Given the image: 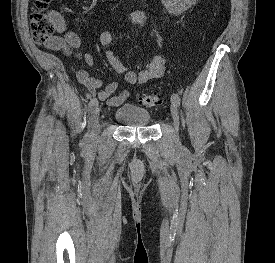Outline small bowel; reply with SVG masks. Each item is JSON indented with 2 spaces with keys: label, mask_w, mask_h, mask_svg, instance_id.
I'll list each match as a JSON object with an SVG mask.
<instances>
[{
  "label": "small bowel",
  "mask_w": 275,
  "mask_h": 263,
  "mask_svg": "<svg viewBox=\"0 0 275 263\" xmlns=\"http://www.w3.org/2000/svg\"><path fill=\"white\" fill-rule=\"evenodd\" d=\"M126 19L138 26L146 25L148 21V15L139 10H130L125 15ZM51 18L59 31L60 35L54 36L49 42L45 43V47L50 50L61 51L67 56H72L77 60H80L84 65L78 68L70 67L75 74L77 81L85 87L89 94L97 97L101 101H105L109 106L118 107L122 105L129 97V91L123 90L120 93H116L118 89V83L112 82L104 87L101 91H98L103 86V81L90 74L85 66H91L93 64V58L88 53H82L78 51L81 45L79 36L71 31H67L64 21L58 13H53ZM113 36L110 31H104L99 36V44L102 47L107 48L105 55L106 58L118 74L123 76L124 80L131 86L142 85L150 80L159 79L164 75L166 68V60L162 56H154L139 68L138 72L127 69V67L119 60L114 52L108 47L112 43Z\"/></svg>",
  "instance_id": "obj_1"
}]
</instances>
